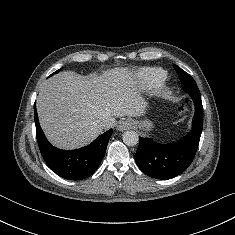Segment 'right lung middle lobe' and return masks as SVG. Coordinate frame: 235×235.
Here are the masks:
<instances>
[{
	"mask_svg": "<svg viewBox=\"0 0 235 235\" xmlns=\"http://www.w3.org/2000/svg\"><path fill=\"white\" fill-rule=\"evenodd\" d=\"M58 71H59V70H57L56 72H54V73H53V74H51L50 76H52V75H54V74L58 73Z\"/></svg>",
	"mask_w": 235,
	"mask_h": 235,
	"instance_id": "right-lung-middle-lobe-1",
	"label": "right lung middle lobe"
}]
</instances>
